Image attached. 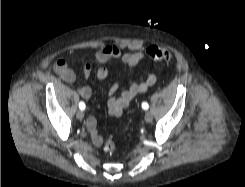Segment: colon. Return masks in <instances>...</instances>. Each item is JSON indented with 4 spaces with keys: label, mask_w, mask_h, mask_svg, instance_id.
I'll return each mask as SVG.
<instances>
[{
    "label": "colon",
    "mask_w": 245,
    "mask_h": 187,
    "mask_svg": "<svg viewBox=\"0 0 245 187\" xmlns=\"http://www.w3.org/2000/svg\"><path fill=\"white\" fill-rule=\"evenodd\" d=\"M147 56L154 62L161 64H169L172 60V54L169 50L161 48L156 45L149 46L146 50ZM103 150L107 154H112L116 150L113 140L108 139L103 147Z\"/></svg>",
    "instance_id": "1"
}]
</instances>
